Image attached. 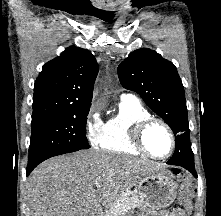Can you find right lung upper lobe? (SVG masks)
Instances as JSON below:
<instances>
[{"label": "right lung upper lobe", "instance_id": "obj_1", "mask_svg": "<svg viewBox=\"0 0 221 216\" xmlns=\"http://www.w3.org/2000/svg\"><path fill=\"white\" fill-rule=\"evenodd\" d=\"M97 74L92 53L75 46L46 63L34 86L32 121L90 108Z\"/></svg>", "mask_w": 221, "mask_h": 216}]
</instances>
